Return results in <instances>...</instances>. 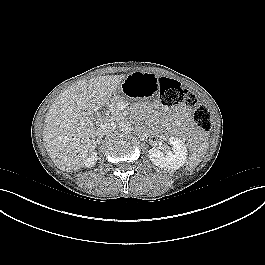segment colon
<instances>
[{"label": "colon", "mask_w": 265, "mask_h": 265, "mask_svg": "<svg viewBox=\"0 0 265 265\" xmlns=\"http://www.w3.org/2000/svg\"><path fill=\"white\" fill-rule=\"evenodd\" d=\"M159 92L162 104L172 108L179 104L194 108L193 121L204 131L211 129V118L208 108L200 105L196 95L178 81L166 77L159 79Z\"/></svg>", "instance_id": "1"}]
</instances>
